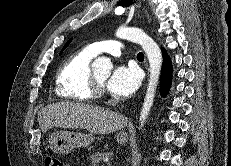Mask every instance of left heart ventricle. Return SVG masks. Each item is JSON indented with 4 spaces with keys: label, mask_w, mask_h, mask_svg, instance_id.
<instances>
[{
    "label": "left heart ventricle",
    "mask_w": 231,
    "mask_h": 166,
    "mask_svg": "<svg viewBox=\"0 0 231 166\" xmlns=\"http://www.w3.org/2000/svg\"><path fill=\"white\" fill-rule=\"evenodd\" d=\"M97 79L101 82V83H105L106 79H107V74H103V73H99V72H96L95 73Z\"/></svg>",
    "instance_id": "b2bd125f"
}]
</instances>
